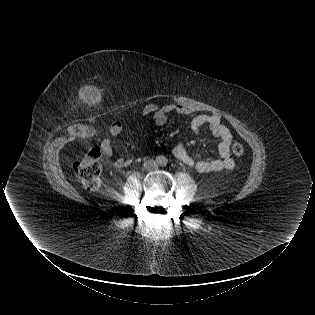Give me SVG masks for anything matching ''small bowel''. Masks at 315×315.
<instances>
[{"label":"small bowel","mask_w":315,"mask_h":315,"mask_svg":"<svg viewBox=\"0 0 315 315\" xmlns=\"http://www.w3.org/2000/svg\"><path fill=\"white\" fill-rule=\"evenodd\" d=\"M193 109L182 103L167 104L157 106L155 104H147L142 111L144 117L150 119L155 125L163 126L168 119V115L176 113L179 115H190ZM207 125L210 130V138L217 140L219 158L212 160H195L191 157L182 144L176 145L173 150V156L182 163L195 168L199 173L219 172L230 170L235 166L234 160L231 157L230 147L232 135L229 129L221 122V117L217 113L198 114L195 115L191 122L190 128L195 135L204 136L202 128ZM123 131V124L115 121L109 128V136H106L101 143V151L103 155L110 159L114 155L111 137L119 136ZM131 158L118 157L114 160L116 168H123L130 165Z\"/></svg>","instance_id":"obj_1"}]
</instances>
